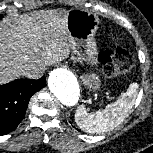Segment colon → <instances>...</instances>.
<instances>
[{
    "label": "colon",
    "mask_w": 153,
    "mask_h": 153,
    "mask_svg": "<svg viewBox=\"0 0 153 153\" xmlns=\"http://www.w3.org/2000/svg\"><path fill=\"white\" fill-rule=\"evenodd\" d=\"M98 59L103 65L104 75L109 78L128 72L133 64L131 54L121 46L101 52Z\"/></svg>",
    "instance_id": "colon-1"
}]
</instances>
